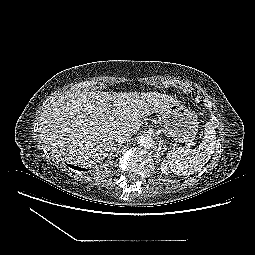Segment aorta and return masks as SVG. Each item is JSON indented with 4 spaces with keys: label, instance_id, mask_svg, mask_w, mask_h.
<instances>
[{
    "label": "aorta",
    "instance_id": "762f6f07",
    "mask_svg": "<svg viewBox=\"0 0 255 255\" xmlns=\"http://www.w3.org/2000/svg\"><path fill=\"white\" fill-rule=\"evenodd\" d=\"M137 143L141 148L149 149L153 146V139L148 135H141L138 137Z\"/></svg>",
    "mask_w": 255,
    "mask_h": 255
}]
</instances>
